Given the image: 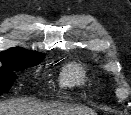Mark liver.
Listing matches in <instances>:
<instances>
[{"mask_svg":"<svg viewBox=\"0 0 131 115\" xmlns=\"http://www.w3.org/2000/svg\"><path fill=\"white\" fill-rule=\"evenodd\" d=\"M0 115H96V113L86 107L11 100L0 103Z\"/></svg>","mask_w":131,"mask_h":115,"instance_id":"1","label":"liver"}]
</instances>
